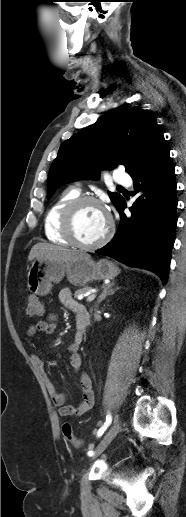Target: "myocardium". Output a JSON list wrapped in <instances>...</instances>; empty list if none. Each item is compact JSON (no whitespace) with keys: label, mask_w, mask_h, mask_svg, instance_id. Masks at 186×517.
Here are the masks:
<instances>
[{"label":"myocardium","mask_w":186,"mask_h":517,"mask_svg":"<svg viewBox=\"0 0 186 517\" xmlns=\"http://www.w3.org/2000/svg\"><path fill=\"white\" fill-rule=\"evenodd\" d=\"M87 204H94L99 206L106 212L108 217V228L106 232L99 240L94 243H83L76 235V217L80 209ZM62 231L73 246L83 250H94L104 246L111 239L114 232V222L101 200L89 195L79 196L72 200L63 212Z\"/></svg>","instance_id":"obj_1"}]
</instances>
